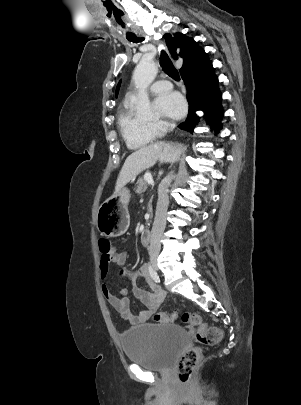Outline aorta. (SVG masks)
I'll list each match as a JSON object with an SVG mask.
<instances>
[{
	"label": "aorta",
	"instance_id": "762f6f07",
	"mask_svg": "<svg viewBox=\"0 0 301 405\" xmlns=\"http://www.w3.org/2000/svg\"><path fill=\"white\" fill-rule=\"evenodd\" d=\"M158 73V67L151 59H142L136 66L133 73V81L138 91L136 111L140 115L151 113V104L147 88L154 81Z\"/></svg>",
	"mask_w": 301,
	"mask_h": 405
}]
</instances>
